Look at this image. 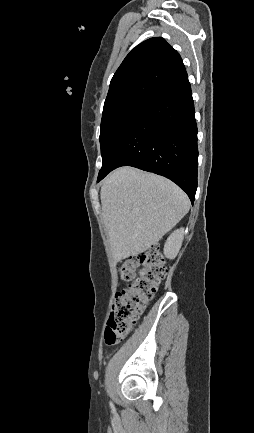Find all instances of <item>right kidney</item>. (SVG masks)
I'll return each mask as SVG.
<instances>
[{
	"instance_id": "obj_1",
	"label": "right kidney",
	"mask_w": 254,
	"mask_h": 433,
	"mask_svg": "<svg viewBox=\"0 0 254 433\" xmlns=\"http://www.w3.org/2000/svg\"><path fill=\"white\" fill-rule=\"evenodd\" d=\"M184 238V229L180 228L175 230L167 239L164 245V255L169 259H174L183 242Z\"/></svg>"
}]
</instances>
